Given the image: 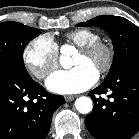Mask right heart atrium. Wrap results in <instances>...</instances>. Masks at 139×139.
Listing matches in <instances>:
<instances>
[{"label":"right heart atrium","instance_id":"right-heart-atrium-1","mask_svg":"<svg viewBox=\"0 0 139 139\" xmlns=\"http://www.w3.org/2000/svg\"><path fill=\"white\" fill-rule=\"evenodd\" d=\"M23 61L28 71L42 80L59 64L58 46L50 36H38L25 46Z\"/></svg>","mask_w":139,"mask_h":139}]
</instances>
